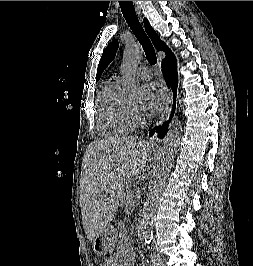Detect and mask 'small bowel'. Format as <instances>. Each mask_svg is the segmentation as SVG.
I'll list each match as a JSON object with an SVG mask.
<instances>
[{
	"label": "small bowel",
	"mask_w": 253,
	"mask_h": 266,
	"mask_svg": "<svg viewBox=\"0 0 253 266\" xmlns=\"http://www.w3.org/2000/svg\"><path fill=\"white\" fill-rule=\"evenodd\" d=\"M134 266V261L125 256L122 251H118L106 260V266Z\"/></svg>",
	"instance_id": "obj_1"
}]
</instances>
